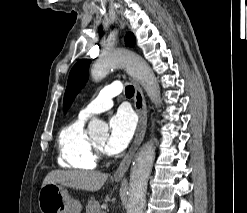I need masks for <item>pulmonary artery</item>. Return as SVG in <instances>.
Returning a JSON list of instances; mask_svg holds the SVG:
<instances>
[{"label":"pulmonary artery","instance_id":"pulmonary-artery-1","mask_svg":"<svg viewBox=\"0 0 247 213\" xmlns=\"http://www.w3.org/2000/svg\"><path fill=\"white\" fill-rule=\"evenodd\" d=\"M121 91L122 86L119 82H114L104 87L100 94L80 111L79 117L82 119H88L93 115L110 109L113 106L112 98L119 95Z\"/></svg>","mask_w":247,"mask_h":213}]
</instances>
